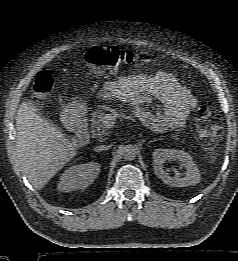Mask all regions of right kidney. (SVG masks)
Returning a JSON list of instances; mask_svg holds the SVG:
<instances>
[{"label": "right kidney", "instance_id": "right-kidney-1", "mask_svg": "<svg viewBox=\"0 0 238 261\" xmlns=\"http://www.w3.org/2000/svg\"><path fill=\"white\" fill-rule=\"evenodd\" d=\"M99 172L100 165L96 162L71 166L61 175L58 189L61 192L85 189L93 183Z\"/></svg>", "mask_w": 238, "mask_h": 261}]
</instances>
